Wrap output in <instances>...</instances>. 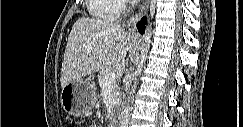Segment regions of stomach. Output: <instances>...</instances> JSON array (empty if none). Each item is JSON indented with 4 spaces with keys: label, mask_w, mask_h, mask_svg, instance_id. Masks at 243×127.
Returning a JSON list of instances; mask_svg holds the SVG:
<instances>
[{
    "label": "stomach",
    "mask_w": 243,
    "mask_h": 127,
    "mask_svg": "<svg viewBox=\"0 0 243 127\" xmlns=\"http://www.w3.org/2000/svg\"><path fill=\"white\" fill-rule=\"evenodd\" d=\"M97 100L96 87L90 81L80 79L62 87L61 104L72 116H85Z\"/></svg>",
    "instance_id": "obj_1"
}]
</instances>
